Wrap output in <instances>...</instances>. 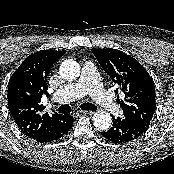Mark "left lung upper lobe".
<instances>
[{
    "instance_id": "1",
    "label": "left lung upper lobe",
    "mask_w": 174,
    "mask_h": 174,
    "mask_svg": "<svg viewBox=\"0 0 174 174\" xmlns=\"http://www.w3.org/2000/svg\"><path fill=\"white\" fill-rule=\"evenodd\" d=\"M92 53L125 95L121 101L117 97L123 119L148 127L156 109V94L147 70L136 59L117 49L93 48Z\"/></svg>"
}]
</instances>
